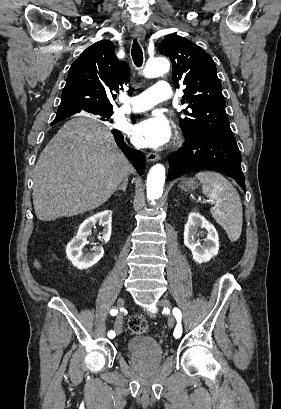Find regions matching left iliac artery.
Here are the masks:
<instances>
[{"label": "left iliac artery", "instance_id": "1", "mask_svg": "<svg viewBox=\"0 0 281 409\" xmlns=\"http://www.w3.org/2000/svg\"><path fill=\"white\" fill-rule=\"evenodd\" d=\"M173 314L177 320V326L174 330V337L179 338L182 335V325H181V311L178 308L173 309Z\"/></svg>", "mask_w": 281, "mask_h": 409}]
</instances>
